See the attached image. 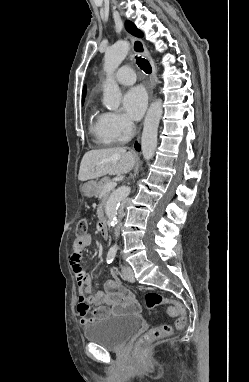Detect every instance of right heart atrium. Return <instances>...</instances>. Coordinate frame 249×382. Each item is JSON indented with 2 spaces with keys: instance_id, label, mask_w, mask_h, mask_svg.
Wrapping results in <instances>:
<instances>
[{
  "instance_id": "d8ad5b80",
  "label": "right heart atrium",
  "mask_w": 249,
  "mask_h": 382,
  "mask_svg": "<svg viewBox=\"0 0 249 382\" xmlns=\"http://www.w3.org/2000/svg\"><path fill=\"white\" fill-rule=\"evenodd\" d=\"M105 123L108 133L116 141L126 140L134 130L133 123L128 118L118 113H106Z\"/></svg>"
}]
</instances>
